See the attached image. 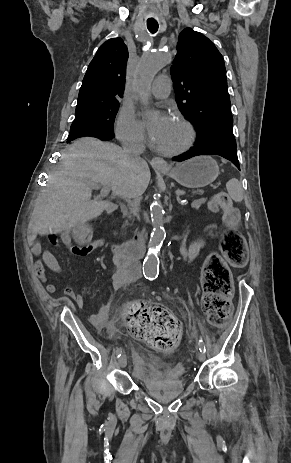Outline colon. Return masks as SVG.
I'll use <instances>...</instances> for the list:
<instances>
[{
    "instance_id": "1",
    "label": "colon",
    "mask_w": 291,
    "mask_h": 463,
    "mask_svg": "<svg viewBox=\"0 0 291 463\" xmlns=\"http://www.w3.org/2000/svg\"><path fill=\"white\" fill-rule=\"evenodd\" d=\"M214 202L222 209L223 221L228 227L221 243L225 260L232 266L241 267L246 263L247 255L245 240L237 230L240 212L226 193H218ZM91 237L92 230L85 224H77L72 232L75 246L86 245ZM47 238L51 243L57 240L53 234H49ZM202 288V307L209 322L214 325L224 323L232 313L233 285L229 268L218 254H211L205 262ZM124 317L132 335L155 349L168 351L179 339L180 326L176 319L156 305L135 302L125 310Z\"/></svg>"
}]
</instances>
